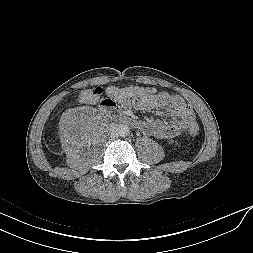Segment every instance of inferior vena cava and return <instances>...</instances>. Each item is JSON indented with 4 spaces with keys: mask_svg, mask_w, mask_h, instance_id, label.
<instances>
[{
    "mask_svg": "<svg viewBox=\"0 0 253 253\" xmlns=\"http://www.w3.org/2000/svg\"><path fill=\"white\" fill-rule=\"evenodd\" d=\"M111 137H112V138H115V137H116V132H115V130H112V132H111Z\"/></svg>",
    "mask_w": 253,
    "mask_h": 253,
    "instance_id": "inferior-vena-cava-1",
    "label": "inferior vena cava"
}]
</instances>
